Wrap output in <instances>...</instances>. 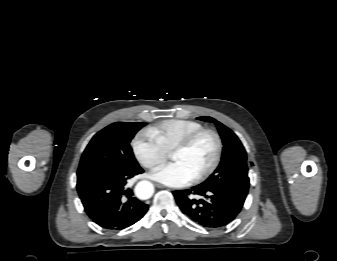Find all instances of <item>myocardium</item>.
Instances as JSON below:
<instances>
[{"mask_svg": "<svg viewBox=\"0 0 337 261\" xmlns=\"http://www.w3.org/2000/svg\"><path fill=\"white\" fill-rule=\"evenodd\" d=\"M205 134H209L213 136V138L215 139L216 152L211 165L202 173L194 177V181L196 182L208 178L218 168L223 154V140L221 135L214 129L202 128L188 135L171 151V155L177 152L185 151L189 149L201 136Z\"/></svg>", "mask_w": 337, "mask_h": 261, "instance_id": "myocardium-1", "label": "myocardium"}]
</instances>
